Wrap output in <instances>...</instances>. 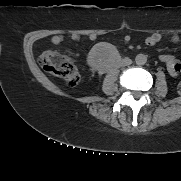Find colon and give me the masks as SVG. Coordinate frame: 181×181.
Here are the masks:
<instances>
[{"label": "colon", "mask_w": 181, "mask_h": 181, "mask_svg": "<svg viewBox=\"0 0 181 181\" xmlns=\"http://www.w3.org/2000/svg\"><path fill=\"white\" fill-rule=\"evenodd\" d=\"M40 64L47 73L63 79L68 85L74 86L79 82L80 75L76 65L60 53L54 51L42 53ZM178 91L181 93V82Z\"/></svg>", "instance_id": "5ec220e1"}]
</instances>
